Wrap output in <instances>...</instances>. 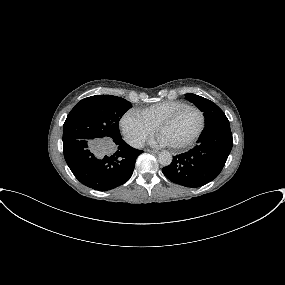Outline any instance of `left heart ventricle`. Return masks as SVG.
<instances>
[{
  "label": "left heart ventricle",
  "mask_w": 285,
  "mask_h": 285,
  "mask_svg": "<svg viewBox=\"0 0 285 285\" xmlns=\"http://www.w3.org/2000/svg\"><path fill=\"white\" fill-rule=\"evenodd\" d=\"M199 126L198 112L194 109H185L159 133L168 141L169 145H180L189 140L197 132Z\"/></svg>",
  "instance_id": "left-heart-ventricle-1"
}]
</instances>
